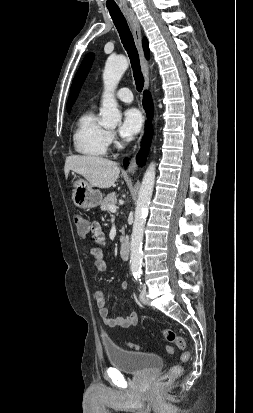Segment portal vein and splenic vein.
<instances>
[{
	"label": "portal vein and splenic vein",
	"instance_id": "1",
	"mask_svg": "<svg viewBox=\"0 0 253 413\" xmlns=\"http://www.w3.org/2000/svg\"><path fill=\"white\" fill-rule=\"evenodd\" d=\"M116 210H117V208H116L115 205L110 206V212L116 213Z\"/></svg>",
	"mask_w": 253,
	"mask_h": 413
}]
</instances>
